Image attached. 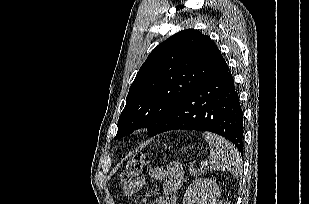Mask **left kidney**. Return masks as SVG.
<instances>
[{
    "instance_id": "5707ae66",
    "label": "left kidney",
    "mask_w": 309,
    "mask_h": 204,
    "mask_svg": "<svg viewBox=\"0 0 309 204\" xmlns=\"http://www.w3.org/2000/svg\"><path fill=\"white\" fill-rule=\"evenodd\" d=\"M220 190L211 179H196L186 190L183 204H219Z\"/></svg>"
}]
</instances>
